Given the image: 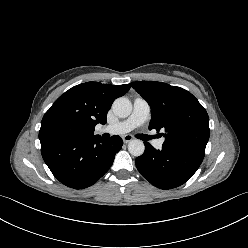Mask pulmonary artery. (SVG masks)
I'll return each mask as SVG.
<instances>
[{
    "label": "pulmonary artery",
    "instance_id": "pulmonary-artery-1",
    "mask_svg": "<svg viewBox=\"0 0 248 248\" xmlns=\"http://www.w3.org/2000/svg\"><path fill=\"white\" fill-rule=\"evenodd\" d=\"M150 118V106L146 100L137 97L133 102V110L130 116L120 122L112 125L105 126L102 130L110 134H124L136 127L141 126ZM164 143V139H157L154 141V146L157 149H161Z\"/></svg>",
    "mask_w": 248,
    "mask_h": 248
}]
</instances>
